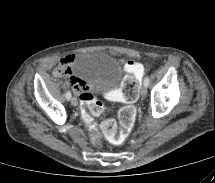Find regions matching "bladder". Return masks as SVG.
<instances>
[{
	"label": "bladder",
	"instance_id": "obj_1",
	"mask_svg": "<svg viewBox=\"0 0 215 183\" xmlns=\"http://www.w3.org/2000/svg\"><path fill=\"white\" fill-rule=\"evenodd\" d=\"M71 70L82 79L89 81L94 91L99 94L115 90L125 74L120 61L100 51L77 55L71 64Z\"/></svg>",
	"mask_w": 215,
	"mask_h": 183
}]
</instances>
